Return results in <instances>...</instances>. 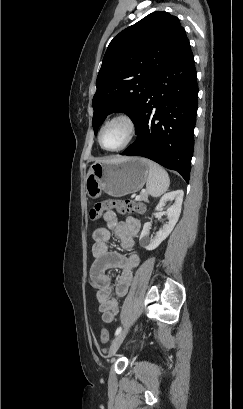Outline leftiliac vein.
<instances>
[{
    "instance_id": "left-iliac-vein-1",
    "label": "left iliac vein",
    "mask_w": 243,
    "mask_h": 409,
    "mask_svg": "<svg viewBox=\"0 0 243 409\" xmlns=\"http://www.w3.org/2000/svg\"><path fill=\"white\" fill-rule=\"evenodd\" d=\"M127 332L128 329H125L114 338L108 350V358L113 357L115 355L116 351L118 350L124 338L126 337Z\"/></svg>"
}]
</instances>
